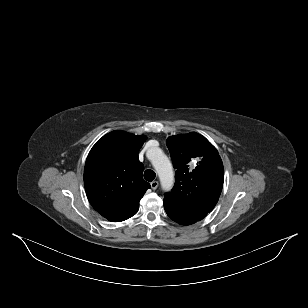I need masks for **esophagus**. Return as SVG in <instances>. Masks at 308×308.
Masks as SVG:
<instances>
[{
    "instance_id": "1",
    "label": "esophagus",
    "mask_w": 308,
    "mask_h": 308,
    "mask_svg": "<svg viewBox=\"0 0 308 308\" xmlns=\"http://www.w3.org/2000/svg\"><path fill=\"white\" fill-rule=\"evenodd\" d=\"M150 185H151V188H152L153 190H155V189H157L159 183H158V181H152V182L150 183Z\"/></svg>"
}]
</instances>
